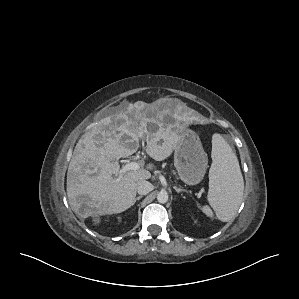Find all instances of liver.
Here are the masks:
<instances>
[{"mask_svg": "<svg viewBox=\"0 0 299 299\" xmlns=\"http://www.w3.org/2000/svg\"><path fill=\"white\" fill-rule=\"evenodd\" d=\"M168 107L123 103L115 113L101 119L76 144L67 172V196L81 219L121 213L134 204L137 182L151 178L155 166L125 173L120 181L118 160L134 154L140 138L146 153L156 161L167 159L179 140L174 125L165 124Z\"/></svg>", "mask_w": 299, "mask_h": 299, "instance_id": "1", "label": "liver"}]
</instances>
